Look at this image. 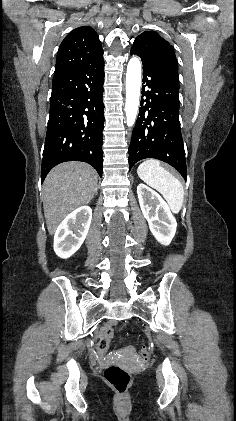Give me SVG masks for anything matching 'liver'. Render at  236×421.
<instances>
[{
	"label": "liver",
	"mask_w": 236,
	"mask_h": 421,
	"mask_svg": "<svg viewBox=\"0 0 236 421\" xmlns=\"http://www.w3.org/2000/svg\"><path fill=\"white\" fill-rule=\"evenodd\" d=\"M97 172L87 162H62L48 172L42 198L49 235H54L61 221L75 208L85 206L96 192Z\"/></svg>",
	"instance_id": "1"
}]
</instances>
